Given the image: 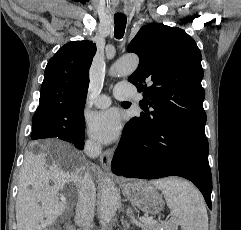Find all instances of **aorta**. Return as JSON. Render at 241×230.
Instances as JSON below:
<instances>
[{"mask_svg":"<svg viewBox=\"0 0 241 230\" xmlns=\"http://www.w3.org/2000/svg\"><path fill=\"white\" fill-rule=\"evenodd\" d=\"M139 58L135 54L125 55L117 60L111 67V74L115 77L131 75L138 67ZM119 192L115 183L106 178L101 187L100 217L105 226L115 215L118 207Z\"/></svg>","mask_w":241,"mask_h":230,"instance_id":"aorta-1","label":"aorta"}]
</instances>
